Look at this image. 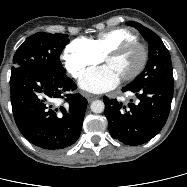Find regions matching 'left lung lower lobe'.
Here are the masks:
<instances>
[{"label": "left lung lower lobe", "mask_w": 187, "mask_h": 187, "mask_svg": "<svg viewBox=\"0 0 187 187\" xmlns=\"http://www.w3.org/2000/svg\"><path fill=\"white\" fill-rule=\"evenodd\" d=\"M132 92L137 102L127 106L104 96L108 130L114 139L126 145H140L151 140L168 118L174 84H149L142 87H124Z\"/></svg>", "instance_id": "obj_1"}]
</instances>
